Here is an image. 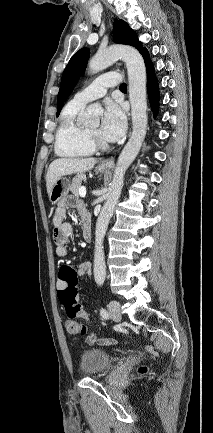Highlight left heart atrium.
<instances>
[{
	"mask_svg": "<svg viewBox=\"0 0 213 433\" xmlns=\"http://www.w3.org/2000/svg\"><path fill=\"white\" fill-rule=\"evenodd\" d=\"M100 129L107 141L113 142L122 137L126 129V119L119 104L112 100L106 101Z\"/></svg>",
	"mask_w": 213,
	"mask_h": 433,
	"instance_id": "obj_1",
	"label": "left heart atrium"
}]
</instances>
